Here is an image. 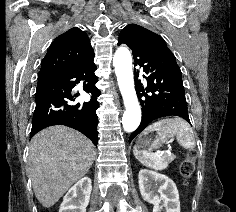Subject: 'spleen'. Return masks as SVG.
Here are the masks:
<instances>
[{
    "instance_id": "3e777b00",
    "label": "spleen",
    "mask_w": 236,
    "mask_h": 212,
    "mask_svg": "<svg viewBox=\"0 0 236 212\" xmlns=\"http://www.w3.org/2000/svg\"><path fill=\"white\" fill-rule=\"evenodd\" d=\"M156 131L159 135L151 145L149 150L139 151L136 147L134 149V155L136 159L146 167L154 170H164L168 166V162L165 156L160 151L152 152V149H157L163 143L167 142L168 139L173 140L177 138L179 145L185 149L192 150L195 147L194 132L188 122L184 119L165 118L149 125L143 134Z\"/></svg>"
}]
</instances>
